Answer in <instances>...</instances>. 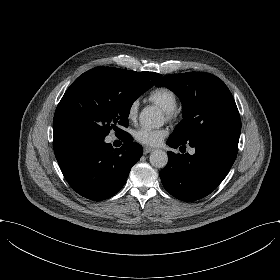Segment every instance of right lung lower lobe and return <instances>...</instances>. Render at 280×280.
Wrapping results in <instances>:
<instances>
[{"label":"right lung lower lobe","mask_w":280,"mask_h":280,"mask_svg":"<svg viewBox=\"0 0 280 280\" xmlns=\"http://www.w3.org/2000/svg\"><path fill=\"white\" fill-rule=\"evenodd\" d=\"M53 148L60 169L72 189L93 201L115 195L143 154L141 145L132 140L116 150L104 139L85 137L71 139Z\"/></svg>","instance_id":"98d812e1"}]
</instances>
